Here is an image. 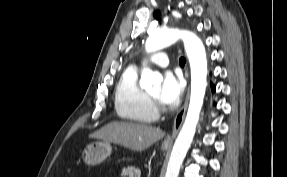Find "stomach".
I'll use <instances>...</instances> for the list:
<instances>
[{
	"instance_id": "1",
	"label": "stomach",
	"mask_w": 287,
	"mask_h": 177,
	"mask_svg": "<svg viewBox=\"0 0 287 177\" xmlns=\"http://www.w3.org/2000/svg\"><path fill=\"white\" fill-rule=\"evenodd\" d=\"M162 150H167L168 146H161ZM112 152V147L107 141H99L89 144L84 151L82 152V158L85 164L87 165H97L103 160H105L108 156H110Z\"/></svg>"
}]
</instances>
